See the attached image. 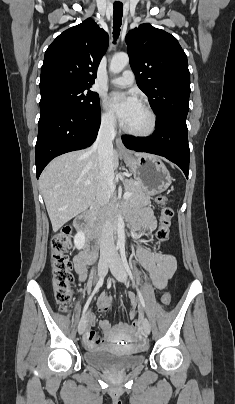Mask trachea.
Listing matches in <instances>:
<instances>
[{"label": "trachea", "instance_id": "obj_1", "mask_svg": "<svg viewBox=\"0 0 235 404\" xmlns=\"http://www.w3.org/2000/svg\"><path fill=\"white\" fill-rule=\"evenodd\" d=\"M122 16H123V5L114 4V12H113V37H114V39H117L120 34Z\"/></svg>", "mask_w": 235, "mask_h": 404}]
</instances>
